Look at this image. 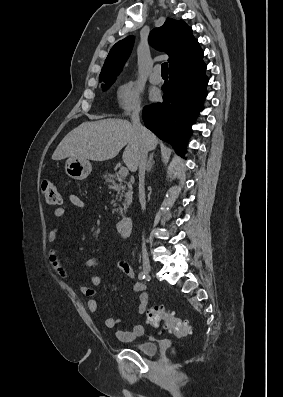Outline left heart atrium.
Wrapping results in <instances>:
<instances>
[{
	"instance_id": "39dd6f15",
	"label": "left heart atrium",
	"mask_w": 283,
	"mask_h": 397,
	"mask_svg": "<svg viewBox=\"0 0 283 397\" xmlns=\"http://www.w3.org/2000/svg\"><path fill=\"white\" fill-rule=\"evenodd\" d=\"M159 97H160V95H159L158 92H153V93L151 94V99H152V100H157V99H159Z\"/></svg>"
}]
</instances>
